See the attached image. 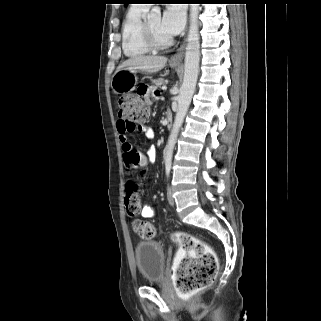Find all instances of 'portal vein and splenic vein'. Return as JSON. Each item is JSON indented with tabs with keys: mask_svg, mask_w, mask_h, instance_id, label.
Instances as JSON below:
<instances>
[{
	"mask_svg": "<svg viewBox=\"0 0 321 321\" xmlns=\"http://www.w3.org/2000/svg\"><path fill=\"white\" fill-rule=\"evenodd\" d=\"M167 89V86H162V90L165 91Z\"/></svg>",
	"mask_w": 321,
	"mask_h": 321,
	"instance_id": "portal-vein-and-splenic-vein-1",
	"label": "portal vein and splenic vein"
}]
</instances>
